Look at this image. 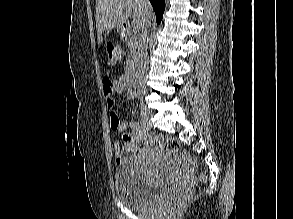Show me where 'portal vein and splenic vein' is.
<instances>
[{"mask_svg": "<svg viewBox=\"0 0 293 219\" xmlns=\"http://www.w3.org/2000/svg\"><path fill=\"white\" fill-rule=\"evenodd\" d=\"M133 29L136 30L137 28L133 26Z\"/></svg>", "mask_w": 293, "mask_h": 219, "instance_id": "18ae733b", "label": "portal vein and splenic vein"}]
</instances>
